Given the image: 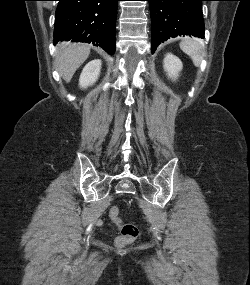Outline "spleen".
I'll return each instance as SVG.
<instances>
[{
  "instance_id": "3e777b00",
  "label": "spleen",
  "mask_w": 250,
  "mask_h": 285,
  "mask_svg": "<svg viewBox=\"0 0 250 285\" xmlns=\"http://www.w3.org/2000/svg\"><path fill=\"white\" fill-rule=\"evenodd\" d=\"M181 50L186 53L196 67H199L204 57L203 43L196 38H185L180 42Z\"/></svg>"
}]
</instances>
